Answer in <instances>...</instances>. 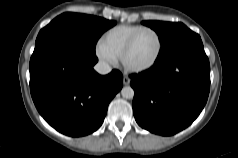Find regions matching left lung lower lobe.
<instances>
[{"instance_id":"obj_1","label":"left lung lower lobe","mask_w":238,"mask_h":158,"mask_svg":"<svg viewBox=\"0 0 238 158\" xmlns=\"http://www.w3.org/2000/svg\"><path fill=\"white\" fill-rule=\"evenodd\" d=\"M130 77L136 122L163 136L188 127L204 108L210 90V65L201 39L157 58L151 68Z\"/></svg>"}]
</instances>
